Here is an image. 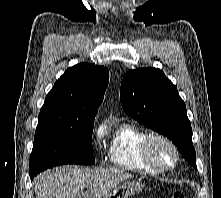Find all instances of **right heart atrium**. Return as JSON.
Segmentation results:
<instances>
[{
    "label": "right heart atrium",
    "mask_w": 221,
    "mask_h": 198,
    "mask_svg": "<svg viewBox=\"0 0 221 198\" xmlns=\"http://www.w3.org/2000/svg\"><path fill=\"white\" fill-rule=\"evenodd\" d=\"M103 134V130L102 128L97 129V131L95 132V138L99 139Z\"/></svg>",
    "instance_id": "obj_1"
}]
</instances>
